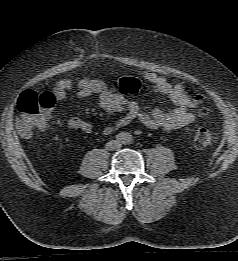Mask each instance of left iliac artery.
<instances>
[{
	"label": "left iliac artery",
	"instance_id": "obj_1",
	"mask_svg": "<svg viewBox=\"0 0 238 261\" xmlns=\"http://www.w3.org/2000/svg\"><path fill=\"white\" fill-rule=\"evenodd\" d=\"M125 143H126V144L132 143V136H131V135L128 134V135L126 136V138H125Z\"/></svg>",
	"mask_w": 238,
	"mask_h": 261
}]
</instances>
